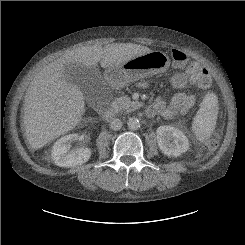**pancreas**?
<instances>
[{
    "mask_svg": "<svg viewBox=\"0 0 245 245\" xmlns=\"http://www.w3.org/2000/svg\"><path fill=\"white\" fill-rule=\"evenodd\" d=\"M138 107V102L131 101L127 96L119 97L114 101V108L117 111L126 110L127 112H131L136 110Z\"/></svg>",
    "mask_w": 245,
    "mask_h": 245,
    "instance_id": "pancreas-1",
    "label": "pancreas"
}]
</instances>
